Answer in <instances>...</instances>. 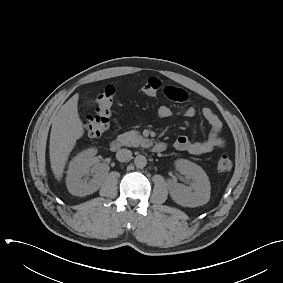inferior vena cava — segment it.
I'll return each mask as SVG.
<instances>
[{"label": "inferior vena cava", "mask_w": 283, "mask_h": 283, "mask_svg": "<svg viewBox=\"0 0 283 283\" xmlns=\"http://www.w3.org/2000/svg\"><path fill=\"white\" fill-rule=\"evenodd\" d=\"M116 158L120 162L130 161L132 159V152L128 149H120L116 153Z\"/></svg>", "instance_id": "obj_1"}]
</instances>
